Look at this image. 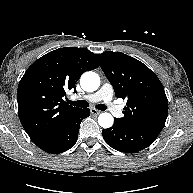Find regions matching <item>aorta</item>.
<instances>
[{
	"mask_svg": "<svg viewBox=\"0 0 193 193\" xmlns=\"http://www.w3.org/2000/svg\"><path fill=\"white\" fill-rule=\"evenodd\" d=\"M80 85L84 91H96L100 86V77L95 72L87 71L81 76ZM113 122L114 119L110 113H101L98 117L99 125L105 129L110 128Z\"/></svg>",
	"mask_w": 193,
	"mask_h": 193,
	"instance_id": "762f6f07",
	"label": "aorta"
}]
</instances>
